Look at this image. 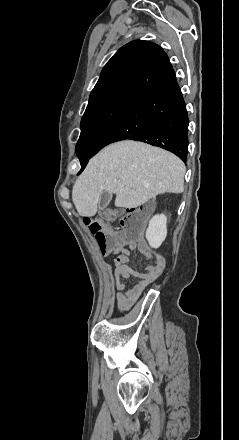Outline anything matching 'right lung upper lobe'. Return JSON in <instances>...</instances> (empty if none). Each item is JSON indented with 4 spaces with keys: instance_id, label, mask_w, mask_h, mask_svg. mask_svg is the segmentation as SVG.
Instances as JSON below:
<instances>
[{
    "instance_id": "1",
    "label": "right lung upper lobe",
    "mask_w": 239,
    "mask_h": 440,
    "mask_svg": "<svg viewBox=\"0 0 239 440\" xmlns=\"http://www.w3.org/2000/svg\"><path fill=\"white\" fill-rule=\"evenodd\" d=\"M171 70L168 56L160 46L144 40L132 41L105 65L87 108L115 97L135 98L155 86Z\"/></svg>"
}]
</instances>
